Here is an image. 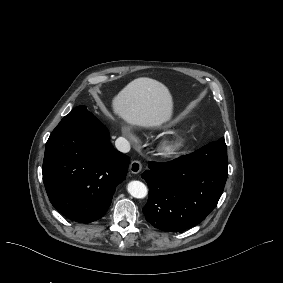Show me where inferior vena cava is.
I'll use <instances>...</instances> for the list:
<instances>
[{
  "mask_svg": "<svg viewBox=\"0 0 283 283\" xmlns=\"http://www.w3.org/2000/svg\"><path fill=\"white\" fill-rule=\"evenodd\" d=\"M115 146L120 152L127 153L130 151V144L123 137H119L116 139Z\"/></svg>",
  "mask_w": 283,
  "mask_h": 283,
  "instance_id": "1",
  "label": "inferior vena cava"
}]
</instances>
